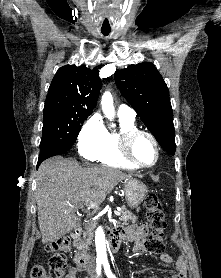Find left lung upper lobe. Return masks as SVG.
<instances>
[{"mask_svg": "<svg viewBox=\"0 0 221 278\" xmlns=\"http://www.w3.org/2000/svg\"><path fill=\"white\" fill-rule=\"evenodd\" d=\"M114 75L124 98L165 151L174 155L173 111L167 85L156 67L143 62L118 70Z\"/></svg>", "mask_w": 221, "mask_h": 278, "instance_id": "left-lung-upper-lobe-1", "label": "left lung upper lobe"}]
</instances>
